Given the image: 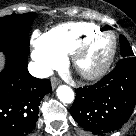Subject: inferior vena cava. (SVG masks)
<instances>
[{"instance_id":"1","label":"inferior vena cava","mask_w":136,"mask_h":136,"mask_svg":"<svg viewBox=\"0 0 136 136\" xmlns=\"http://www.w3.org/2000/svg\"><path fill=\"white\" fill-rule=\"evenodd\" d=\"M28 70L32 76L37 78H47L52 74V70L50 68L37 62H30Z\"/></svg>"}]
</instances>
